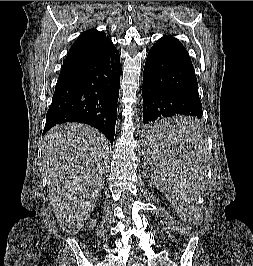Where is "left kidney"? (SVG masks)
Returning a JSON list of instances; mask_svg holds the SVG:
<instances>
[{
	"label": "left kidney",
	"instance_id": "1",
	"mask_svg": "<svg viewBox=\"0 0 253 266\" xmlns=\"http://www.w3.org/2000/svg\"><path fill=\"white\" fill-rule=\"evenodd\" d=\"M183 206H186L185 203H181V204L179 205L178 210H179V209H183Z\"/></svg>",
	"mask_w": 253,
	"mask_h": 266
}]
</instances>
